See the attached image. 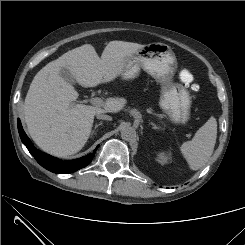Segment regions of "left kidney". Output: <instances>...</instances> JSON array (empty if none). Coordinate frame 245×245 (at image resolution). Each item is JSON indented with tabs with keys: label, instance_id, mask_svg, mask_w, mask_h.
<instances>
[{
	"label": "left kidney",
	"instance_id": "left-kidney-1",
	"mask_svg": "<svg viewBox=\"0 0 245 245\" xmlns=\"http://www.w3.org/2000/svg\"><path fill=\"white\" fill-rule=\"evenodd\" d=\"M158 161L161 163V164H166L168 162L171 161L172 157H171V153L169 152H159L158 153Z\"/></svg>",
	"mask_w": 245,
	"mask_h": 245
}]
</instances>
